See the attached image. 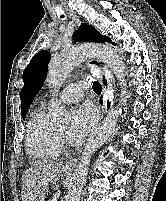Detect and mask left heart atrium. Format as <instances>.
<instances>
[{
  "label": "left heart atrium",
  "instance_id": "39dd6f15",
  "mask_svg": "<svg viewBox=\"0 0 166 201\" xmlns=\"http://www.w3.org/2000/svg\"><path fill=\"white\" fill-rule=\"evenodd\" d=\"M97 115L93 106L83 104L72 111L68 137L71 143L79 144L96 123Z\"/></svg>",
  "mask_w": 166,
  "mask_h": 201
}]
</instances>
